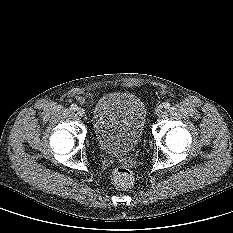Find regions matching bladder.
I'll return each instance as SVG.
<instances>
[{"mask_svg": "<svg viewBox=\"0 0 233 233\" xmlns=\"http://www.w3.org/2000/svg\"><path fill=\"white\" fill-rule=\"evenodd\" d=\"M92 123L100 148L109 155L122 156L132 151L142 138L146 109L134 94L108 93L96 102Z\"/></svg>", "mask_w": 233, "mask_h": 233, "instance_id": "1", "label": "bladder"}]
</instances>
